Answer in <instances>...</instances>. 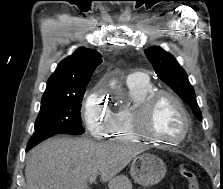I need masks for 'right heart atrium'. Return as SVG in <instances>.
Segmentation results:
<instances>
[{"mask_svg":"<svg viewBox=\"0 0 223 189\" xmlns=\"http://www.w3.org/2000/svg\"><path fill=\"white\" fill-rule=\"evenodd\" d=\"M82 114L86 128L93 137L103 138L107 135L112 112L100 87H95L86 96Z\"/></svg>","mask_w":223,"mask_h":189,"instance_id":"d8ad5b80","label":"right heart atrium"}]
</instances>
